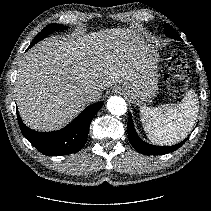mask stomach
Wrapping results in <instances>:
<instances>
[{
	"instance_id": "stomach-1",
	"label": "stomach",
	"mask_w": 211,
	"mask_h": 211,
	"mask_svg": "<svg viewBox=\"0 0 211 211\" xmlns=\"http://www.w3.org/2000/svg\"><path fill=\"white\" fill-rule=\"evenodd\" d=\"M159 57L155 49L150 48L146 62L138 76L123 86L130 101L137 106L150 102L158 92Z\"/></svg>"
}]
</instances>
